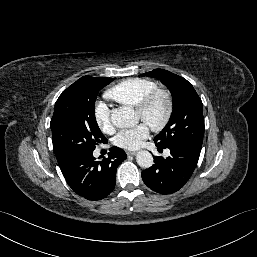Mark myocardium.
I'll list each match as a JSON object with an SVG mask.
<instances>
[{"instance_id": "obj_1", "label": "myocardium", "mask_w": 257, "mask_h": 257, "mask_svg": "<svg viewBox=\"0 0 257 257\" xmlns=\"http://www.w3.org/2000/svg\"><path fill=\"white\" fill-rule=\"evenodd\" d=\"M158 99L163 100L165 104V112L160 122L150 125L154 131L163 130L170 122L174 110V101L171 92L167 89L156 88L149 92L136 106L137 113L144 116Z\"/></svg>"}]
</instances>
